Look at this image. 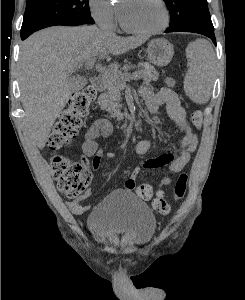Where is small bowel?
Returning a JSON list of instances; mask_svg holds the SVG:
<instances>
[{"mask_svg":"<svg viewBox=\"0 0 245 300\" xmlns=\"http://www.w3.org/2000/svg\"><path fill=\"white\" fill-rule=\"evenodd\" d=\"M165 84L166 85L158 91H155L149 85L143 86L141 88V94L144 98L146 107L150 112H156L162 105L166 106L169 117L178 125L183 133L180 143L182 153L179 156L163 154L159 157L145 160L134 167L125 181V189L127 191H133L136 178L142 168L156 169L165 167L166 177L162 178L160 187L166 188L167 184L170 183V179L173 178V175L182 171V169L190 161L192 153H194L197 149L198 135L188 119L187 111L182 105L178 94L173 89L174 81L171 78H167ZM112 131L113 125L109 120L98 119L86 130L84 134L82 152L85 157L92 158V166L94 170L98 169L100 161L104 155V152L99 147V140L100 138L109 137L112 134ZM151 147L152 142L148 139H144L136 144L135 152L137 155H145L151 150ZM105 155L108 158H116L117 156L114 152H106ZM90 194L91 191L88 189L84 193L83 198H87ZM67 206L74 214H82L89 208V206L81 204L79 199L70 200L67 202Z\"/></svg>","mask_w":245,"mask_h":300,"instance_id":"1","label":"small bowel"}]
</instances>
